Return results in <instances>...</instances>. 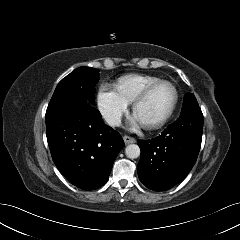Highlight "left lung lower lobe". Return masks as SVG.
Returning a JSON list of instances; mask_svg holds the SVG:
<instances>
[{
    "label": "left lung lower lobe",
    "mask_w": 240,
    "mask_h": 240,
    "mask_svg": "<svg viewBox=\"0 0 240 240\" xmlns=\"http://www.w3.org/2000/svg\"><path fill=\"white\" fill-rule=\"evenodd\" d=\"M203 114L200 107L181 112L159 137L139 140L140 181L154 191H165L181 182L194 166L201 147Z\"/></svg>",
    "instance_id": "0a47b994"
}]
</instances>
